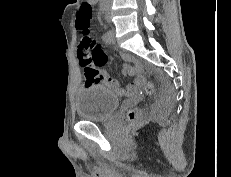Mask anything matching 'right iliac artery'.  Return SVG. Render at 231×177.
<instances>
[{"mask_svg":"<svg viewBox=\"0 0 231 177\" xmlns=\"http://www.w3.org/2000/svg\"><path fill=\"white\" fill-rule=\"evenodd\" d=\"M106 10H107V4L105 1H102V4H101L102 13L104 14Z\"/></svg>","mask_w":231,"mask_h":177,"instance_id":"82829eb1","label":"right iliac artery"}]
</instances>
